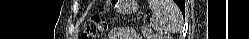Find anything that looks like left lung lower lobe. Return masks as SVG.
Instances as JSON below:
<instances>
[{
  "instance_id": "0a47b994",
  "label": "left lung lower lobe",
  "mask_w": 249,
  "mask_h": 39,
  "mask_svg": "<svg viewBox=\"0 0 249 39\" xmlns=\"http://www.w3.org/2000/svg\"><path fill=\"white\" fill-rule=\"evenodd\" d=\"M175 2L178 4L179 2H182L183 4L182 5H178L179 8L182 10V12H184V9H185V2L183 0H175Z\"/></svg>"
}]
</instances>
